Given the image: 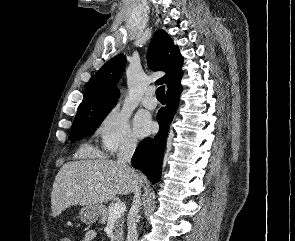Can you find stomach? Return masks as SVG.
Returning <instances> with one entry per match:
<instances>
[{
  "label": "stomach",
  "instance_id": "1",
  "mask_svg": "<svg viewBox=\"0 0 295 241\" xmlns=\"http://www.w3.org/2000/svg\"><path fill=\"white\" fill-rule=\"evenodd\" d=\"M103 209L104 206L100 204L86 205L82 207L79 212L81 221L85 224H92L96 222V220H98L101 216Z\"/></svg>",
  "mask_w": 295,
  "mask_h": 241
}]
</instances>
